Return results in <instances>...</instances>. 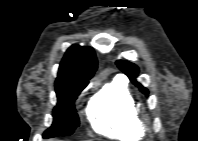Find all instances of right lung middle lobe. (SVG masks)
<instances>
[{
    "label": "right lung middle lobe",
    "mask_w": 198,
    "mask_h": 141,
    "mask_svg": "<svg viewBox=\"0 0 198 141\" xmlns=\"http://www.w3.org/2000/svg\"><path fill=\"white\" fill-rule=\"evenodd\" d=\"M86 85L87 83L55 85L58 103L53 110V124L44 132V138L71 135L79 126L74 101Z\"/></svg>",
    "instance_id": "dd1d6c3e"
}]
</instances>
